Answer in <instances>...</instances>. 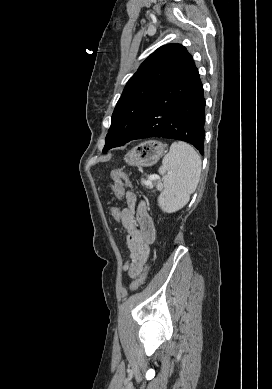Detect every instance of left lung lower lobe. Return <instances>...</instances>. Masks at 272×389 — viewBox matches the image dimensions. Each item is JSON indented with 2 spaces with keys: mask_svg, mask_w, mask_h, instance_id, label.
Listing matches in <instances>:
<instances>
[{
  "mask_svg": "<svg viewBox=\"0 0 272 389\" xmlns=\"http://www.w3.org/2000/svg\"><path fill=\"white\" fill-rule=\"evenodd\" d=\"M204 116L203 86L192 60L154 98L127 142L148 137L181 140L194 145L203 155Z\"/></svg>",
  "mask_w": 272,
  "mask_h": 389,
  "instance_id": "0a47b994",
  "label": "left lung lower lobe"
}]
</instances>
